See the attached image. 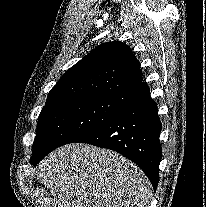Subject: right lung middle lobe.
Here are the masks:
<instances>
[{"label": "right lung middle lobe", "mask_w": 206, "mask_h": 207, "mask_svg": "<svg viewBox=\"0 0 206 207\" xmlns=\"http://www.w3.org/2000/svg\"><path fill=\"white\" fill-rule=\"evenodd\" d=\"M127 103L126 95L83 96L46 102L38 118L32 157L78 141L113 119Z\"/></svg>", "instance_id": "right-lung-middle-lobe-1"}]
</instances>
